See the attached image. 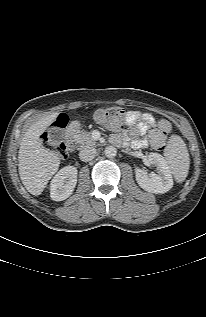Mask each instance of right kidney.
Returning <instances> with one entry per match:
<instances>
[{
	"label": "right kidney",
	"mask_w": 206,
	"mask_h": 317,
	"mask_svg": "<svg viewBox=\"0 0 206 317\" xmlns=\"http://www.w3.org/2000/svg\"><path fill=\"white\" fill-rule=\"evenodd\" d=\"M77 183V168L66 166L58 171L53 177L50 184V196L54 201L67 199Z\"/></svg>",
	"instance_id": "right-kidney-1"
}]
</instances>
